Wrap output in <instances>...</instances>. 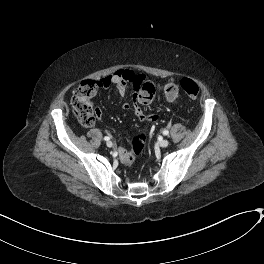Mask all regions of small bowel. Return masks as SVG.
<instances>
[{"label": "small bowel", "mask_w": 264, "mask_h": 264, "mask_svg": "<svg viewBox=\"0 0 264 264\" xmlns=\"http://www.w3.org/2000/svg\"><path fill=\"white\" fill-rule=\"evenodd\" d=\"M146 76L134 70H119L116 73L102 78L98 85L100 87H107L110 84L116 86L119 94L124 95L129 85L133 86L136 90L133 103L124 102L122 108L124 110H132L141 122L156 121L157 117L155 115L148 116L144 111V107L137 101L138 91L141 88V85L146 81ZM172 102L175 100H171ZM119 157L122 161H127L130 153L125 149H119Z\"/></svg>", "instance_id": "1"}]
</instances>
